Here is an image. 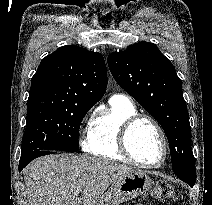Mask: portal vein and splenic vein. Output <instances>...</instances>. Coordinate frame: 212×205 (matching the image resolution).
Segmentation results:
<instances>
[{
    "mask_svg": "<svg viewBox=\"0 0 212 205\" xmlns=\"http://www.w3.org/2000/svg\"><path fill=\"white\" fill-rule=\"evenodd\" d=\"M77 189L80 190L81 189V186H78Z\"/></svg>",
    "mask_w": 212,
    "mask_h": 205,
    "instance_id": "portal-vein-and-splenic-vein-1",
    "label": "portal vein and splenic vein"
}]
</instances>
